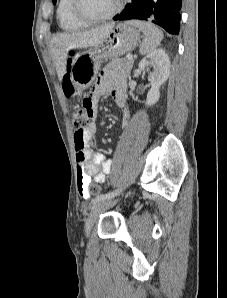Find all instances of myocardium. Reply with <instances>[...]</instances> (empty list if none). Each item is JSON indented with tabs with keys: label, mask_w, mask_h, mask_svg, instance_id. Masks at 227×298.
I'll return each instance as SVG.
<instances>
[{
	"label": "myocardium",
	"mask_w": 227,
	"mask_h": 298,
	"mask_svg": "<svg viewBox=\"0 0 227 298\" xmlns=\"http://www.w3.org/2000/svg\"><path fill=\"white\" fill-rule=\"evenodd\" d=\"M72 1H73L72 11L74 16L77 19L85 22L86 24H96V23H102V22L108 21L113 17H115L123 7V0H117L114 9L107 15L102 17H91L84 12L82 0H72Z\"/></svg>",
	"instance_id": "myocardium-1"
}]
</instances>
